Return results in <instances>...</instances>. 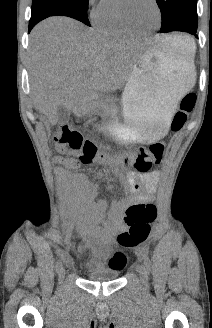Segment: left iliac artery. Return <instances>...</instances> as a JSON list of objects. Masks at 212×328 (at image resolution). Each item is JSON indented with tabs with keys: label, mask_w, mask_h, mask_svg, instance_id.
<instances>
[{
	"label": "left iliac artery",
	"mask_w": 212,
	"mask_h": 328,
	"mask_svg": "<svg viewBox=\"0 0 212 328\" xmlns=\"http://www.w3.org/2000/svg\"><path fill=\"white\" fill-rule=\"evenodd\" d=\"M144 265L146 267L147 273L150 274V272H151V261H150V259L147 255L144 257Z\"/></svg>",
	"instance_id": "obj_1"
}]
</instances>
